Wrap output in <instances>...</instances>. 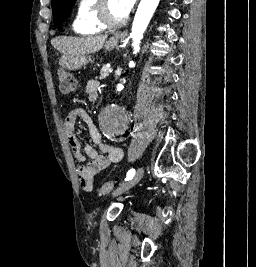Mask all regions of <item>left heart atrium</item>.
<instances>
[{
  "mask_svg": "<svg viewBox=\"0 0 256 267\" xmlns=\"http://www.w3.org/2000/svg\"><path fill=\"white\" fill-rule=\"evenodd\" d=\"M114 2L121 16V20L116 26L119 28L125 25L131 11L133 10L136 0H114Z\"/></svg>",
  "mask_w": 256,
  "mask_h": 267,
  "instance_id": "left-heart-atrium-1",
  "label": "left heart atrium"
}]
</instances>
